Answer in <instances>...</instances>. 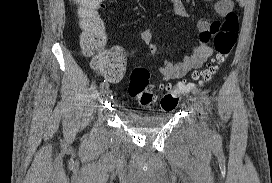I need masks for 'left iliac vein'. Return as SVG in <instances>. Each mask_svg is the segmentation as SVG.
<instances>
[{
  "label": "left iliac vein",
  "instance_id": "left-iliac-vein-1",
  "mask_svg": "<svg viewBox=\"0 0 272 183\" xmlns=\"http://www.w3.org/2000/svg\"><path fill=\"white\" fill-rule=\"evenodd\" d=\"M192 101L194 102V106H195V109L197 110L198 113H200V119H201V127L203 130H207V126H206V123L205 121L203 120V114H204V111H203V108H202V102L201 100L199 99H192Z\"/></svg>",
  "mask_w": 272,
  "mask_h": 183
}]
</instances>
